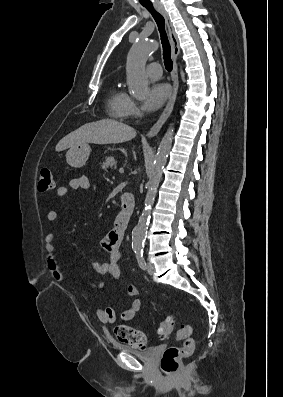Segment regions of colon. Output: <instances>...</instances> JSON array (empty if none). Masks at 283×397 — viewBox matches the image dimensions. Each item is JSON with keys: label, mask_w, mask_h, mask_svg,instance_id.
I'll return each instance as SVG.
<instances>
[{"label": "colon", "mask_w": 283, "mask_h": 397, "mask_svg": "<svg viewBox=\"0 0 283 397\" xmlns=\"http://www.w3.org/2000/svg\"><path fill=\"white\" fill-rule=\"evenodd\" d=\"M55 187L54 176L49 168H43L39 175L38 189L41 192H47ZM175 327V320L172 316H167L158 328V335L163 339L170 338ZM116 338L127 345L143 348L146 344V335L137 329L127 325H117L114 330ZM193 328L189 324H183L177 332V338L183 340L184 344L181 347H168L161 357L160 367L164 375H174L180 366V360L191 355L194 352V340L192 338Z\"/></svg>", "instance_id": "obj_1"}]
</instances>
